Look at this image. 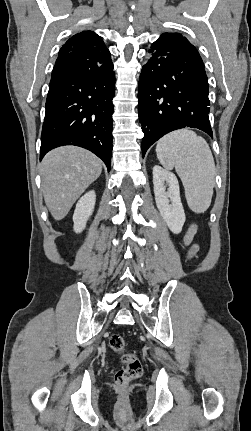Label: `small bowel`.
<instances>
[{"label":"small bowel","instance_id":"obj_1","mask_svg":"<svg viewBox=\"0 0 251 431\" xmlns=\"http://www.w3.org/2000/svg\"><path fill=\"white\" fill-rule=\"evenodd\" d=\"M197 226L196 224L192 223L183 239L184 245L188 247V257L192 258L196 255L198 252L199 246L196 243H193L194 235L196 234Z\"/></svg>","mask_w":251,"mask_h":431}]
</instances>
